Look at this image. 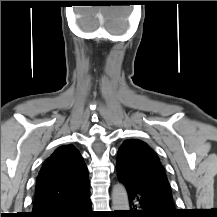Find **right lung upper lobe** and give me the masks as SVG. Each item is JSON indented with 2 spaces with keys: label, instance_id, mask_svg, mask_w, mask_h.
Wrapping results in <instances>:
<instances>
[{
  "label": "right lung upper lobe",
  "instance_id": "right-lung-upper-lobe-1",
  "mask_svg": "<svg viewBox=\"0 0 217 217\" xmlns=\"http://www.w3.org/2000/svg\"><path fill=\"white\" fill-rule=\"evenodd\" d=\"M89 191L88 169L79 151L73 145L61 146L42 165L32 213Z\"/></svg>",
  "mask_w": 217,
  "mask_h": 217
}]
</instances>
